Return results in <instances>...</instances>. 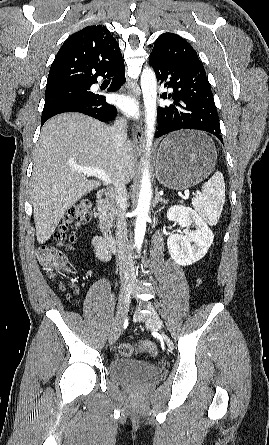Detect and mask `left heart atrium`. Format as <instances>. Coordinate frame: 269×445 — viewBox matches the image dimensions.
<instances>
[{"mask_svg": "<svg viewBox=\"0 0 269 445\" xmlns=\"http://www.w3.org/2000/svg\"><path fill=\"white\" fill-rule=\"evenodd\" d=\"M115 103L126 113L130 114V115H134L137 111L135 102L133 99L126 97V96H122V95H118L115 98Z\"/></svg>", "mask_w": 269, "mask_h": 445, "instance_id": "obj_1", "label": "left heart atrium"}]
</instances>
